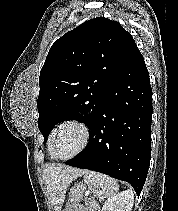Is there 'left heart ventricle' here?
<instances>
[{"label": "left heart ventricle", "instance_id": "b2bd125f", "mask_svg": "<svg viewBox=\"0 0 178 211\" xmlns=\"http://www.w3.org/2000/svg\"><path fill=\"white\" fill-rule=\"evenodd\" d=\"M82 133L79 128L68 125L60 129L55 139V150L60 156L74 153L81 145Z\"/></svg>", "mask_w": 178, "mask_h": 211}]
</instances>
